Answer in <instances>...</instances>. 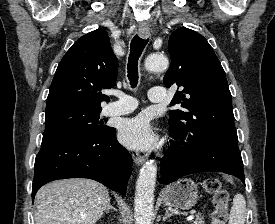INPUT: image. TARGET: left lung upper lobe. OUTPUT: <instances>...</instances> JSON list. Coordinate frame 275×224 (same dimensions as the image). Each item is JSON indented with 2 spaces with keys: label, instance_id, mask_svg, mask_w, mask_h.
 Segmentation results:
<instances>
[{
  "label": "left lung upper lobe",
  "instance_id": "5c2ea615",
  "mask_svg": "<svg viewBox=\"0 0 275 224\" xmlns=\"http://www.w3.org/2000/svg\"><path fill=\"white\" fill-rule=\"evenodd\" d=\"M168 50L171 66L163 82L182 88L170 103L181 107L169 113L170 130L187 140L202 135L238 140L225 72L207 40L181 27L171 34Z\"/></svg>",
  "mask_w": 275,
  "mask_h": 224
}]
</instances>
